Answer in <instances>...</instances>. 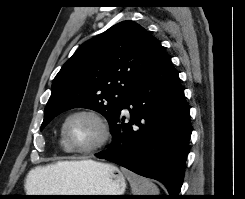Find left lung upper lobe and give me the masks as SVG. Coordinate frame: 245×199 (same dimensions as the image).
<instances>
[{
	"instance_id": "5c2ea615",
	"label": "left lung upper lobe",
	"mask_w": 245,
	"mask_h": 199,
	"mask_svg": "<svg viewBox=\"0 0 245 199\" xmlns=\"http://www.w3.org/2000/svg\"><path fill=\"white\" fill-rule=\"evenodd\" d=\"M163 51L160 42L133 21L120 22L86 41L54 78L41 130L75 107L93 109L110 123Z\"/></svg>"
}]
</instances>
